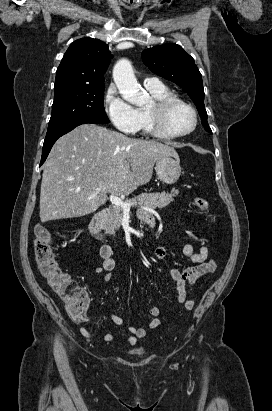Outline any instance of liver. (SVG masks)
I'll use <instances>...</instances> for the list:
<instances>
[{"instance_id":"obj_1","label":"liver","mask_w":272,"mask_h":411,"mask_svg":"<svg viewBox=\"0 0 272 411\" xmlns=\"http://www.w3.org/2000/svg\"><path fill=\"white\" fill-rule=\"evenodd\" d=\"M166 156L178 159L167 144L129 138L95 124L76 127L56 141L45 162L41 222L93 213L105 204L107 194L129 195L151 180L155 161Z\"/></svg>"}]
</instances>
